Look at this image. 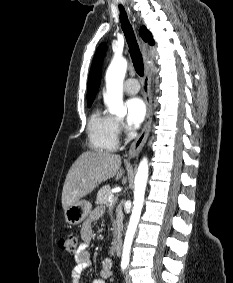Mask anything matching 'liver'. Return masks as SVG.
<instances>
[{
    "label": "liver",
    "instance_id": "1",
    "mask_svg": "<svg viewBox=\"0 0 233 283\" xmlns=\"http://www.w3.org/2000/svg\"><path fill=\"white\" fill-rule=\"evenodd\" d=\"M121 157L103 151L83 152L68 171L62 191V206L68 207L90 194L98 185L116 176H123Z\"/></svg>",
    "mask_w": 233,
    "mask_h": 283
}]
</instances>
